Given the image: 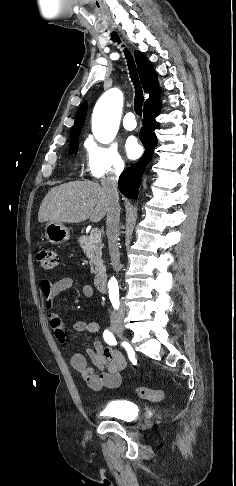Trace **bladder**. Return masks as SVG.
Listing matches in <instances>:
<instances>
[{
	"instance_id": "1",
	"label": "bladder",
	"mask_w": 236,
	"mask_h": 486,
	"mask_svg": "<svg viewBox=\"0 0 236 486\" xmlns=\"http://www.w3.org/2000/svg\"><path fill=\"white\" fill-rule=\"evenodd\" d=\"M138 411L139 407L136 403L127 400H116L109 402L102 413L108 417L129 421L136 418Z\"/></svg>"
}]
</instances>
